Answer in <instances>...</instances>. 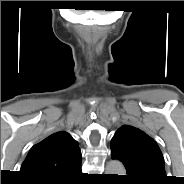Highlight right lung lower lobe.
I'll return each instance as SVG.
<instances>
[{"instance_id":"1","label":"right lung lower lobe","mask_w":184,"mask_h":184,"mask_svg":"<svg viewBox=\"0 0 184 184\" xmlns=\"http://www.w3.org/2000/svg\"><path fill=\"white\" fill-rule=\"evenodd\" d=\"M81 175V162L76 164L62 178L52 181H35L34 184H75L78 176Z\"/></svg>"}]
</instances>
